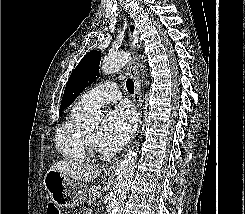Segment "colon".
I'll list each match as a JSON object with an SVG mask.
<instances>
[{
  "instance_id": "1",
  "label": "colon",
  "mask_w": 245,
  "mask_h": 214,
  "mask_svg": "<svg viewBox=\"0 0 245 214\" xmlns=\"http://www.w3.org/2000/svg\"><path fill=\"white\" fill-rule=\"evenodd\" d=\"M49 214H61V213L59 212V210L55 206L51 205L49 207Z\"/></svg>"
}]
</instances>
